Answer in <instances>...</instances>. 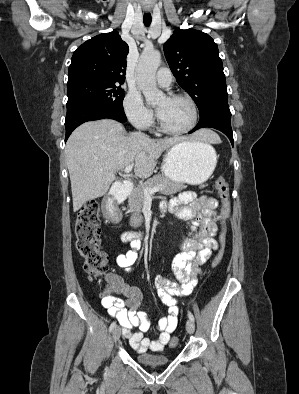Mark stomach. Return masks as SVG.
<instances>
[{
    "label": "stomach",
    "mask_w": 299,
    "mask_h": 394,
    "mask_svg": "<svg viewBox=\"0 0 299 394\" xmlns=\"http://www.w3.org/2000/svg\"><path fill=\"white\" fill-rule=\"evenodd\" d=\"M216 163V152H212L207 143L182 141L166 152L161 171L175 183L200 185L211 176Z\"/></svg>",
    "instance_id": "obj_1"
}]
</instances>
